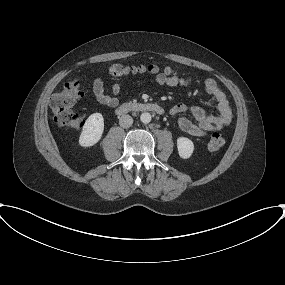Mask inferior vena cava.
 Wrapping results in <instances>:
<instances>
[{"label":"inferior vena cava","mask_w":285,"mask_h":285,"mask_svg":"<svg viewBox=\"0 0 285 285\" xmlns=\"http://www.w3.org/2000/svg\"><path fill=\"white\" fill-rule=\"evenodd\" d=\"M133 124V118L130 115H122L119 119V125L123 128H129Z\"/></svg>","instance_id":"inferior-vena-cava-1"}]
</instances>
